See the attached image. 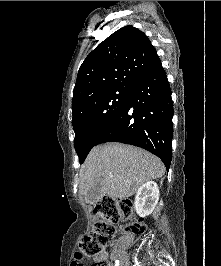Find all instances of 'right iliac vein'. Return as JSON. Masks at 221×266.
<instances>
[{"mask_svg": "<svg viewBox=\"0 0 221 266\" xmlns=\"http://www.w3.org/2000/svg\"><path fill=\"white\" fill-rule=\"evenodd\" d=\"M120 266H128V259L126 255L121 259Z\"/></svg>", "mask_w": 221, "mask_h": 266, "instance_id": "obj_1", "label": "right iliac vein"}]
</instances>
